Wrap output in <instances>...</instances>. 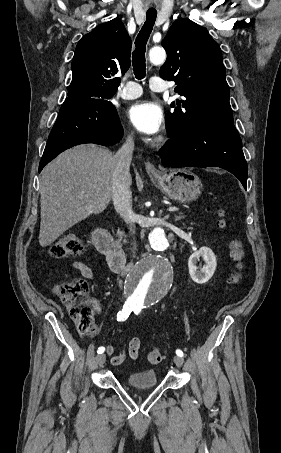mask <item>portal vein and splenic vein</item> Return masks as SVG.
<instances>
[{
  "instance_id": "1",
  "label": "portal vein and splenic vein",
  "mask_w": 281,
  "mask_h": 453,
  "mask_svg": "<svg viewBox=\"0 0 281 453\" xmlns=\"http://www.w3.org/2000/svg\"><path fill=\"white\" fill-rule=\"evenodd\" d=\"M167 211L168 212H179L180 208L179 207H168Z\"/></svg>"
}]
</instances>
